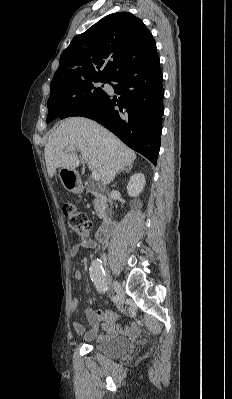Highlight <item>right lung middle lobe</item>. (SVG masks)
<instances>
[{
	"label": "right lung middle lobe",
	"mask_w": 232,
	"mask_h": 399,
	"mask_svg": "<svg viewBox=\"0 0 232 399\" xmlns=\"http://www.w3.org/2000/svg\"><path fill=\"white\" fill-rule=\"evenodd\" d=\"M108 81L109 79H102L82 83L67 92L50 95L47 102V123L57 118L61 113L65 117H69L79 110L99 104L106 97L107 93L102 88L96 87L95 83H106Z\"/></svg>",
	"instance_id": "right-lung-middle-lobe-1"
}]
</instances>
